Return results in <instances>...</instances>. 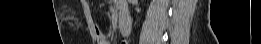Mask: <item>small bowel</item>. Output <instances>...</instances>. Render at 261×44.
Listing matches in <instances>:
<instances>
[{
    "mask_svg": "<svg viewBox=\"0 0 261 44\" xmlns=\"http://www.w3.org/2000/svg\"><path fill=\"white\" fill-rule=\"evenodd\" d=\"M118 10H123L126 12V3L125 2H120L119 5H118ZM126 41L123 42V44H125Z\"/></svg>",
    "mask_w": 261,
    "mask_h": 44,
    "instance_id": "small-bowel-1",
    "label": "small bowel"
}]
</instances>
